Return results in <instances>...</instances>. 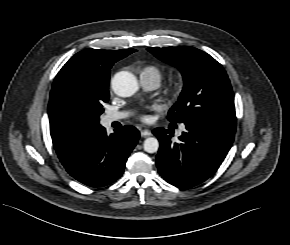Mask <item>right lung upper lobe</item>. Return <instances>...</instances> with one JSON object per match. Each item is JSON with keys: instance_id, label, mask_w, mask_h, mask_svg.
<instances>
[{"instance_id": "right-lung-upper-lobe-1", "label": "right lung upper lobe", "mask_w": 290, "mask_h": 245, "mask_svg": "<svg viewBox=\"0 0 290 245\" xmlns=\"http://www.w3.org/2000/svg\"><path fill=\"white\" fill-rule=\"evenodd\" d=\"M135 51L86 49L75 54L58 72L48 106L50 133L57 154L66 152L101 126L67 97L64 92L66 79L78 72L103 73L110 70L115 62Z\"/></svg>"}]
</instances>
